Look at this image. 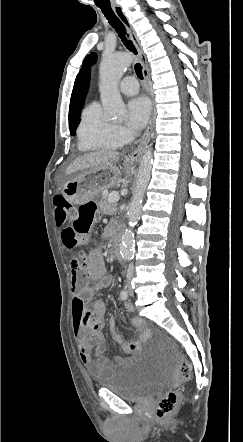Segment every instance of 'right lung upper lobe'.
<instances>
[{"label": "right lung upper lobe", "mask_w": 243, "mask_h": 442, "mask_svg": "<svg viewBox=\"0 0 243 442\" xmlns=\"http://www.w3.org/2000/svg\"><path fill=\"white\" fill-rule=\"evenodd\" d=\"M89 87V69L83 67L76 77L70 107H69V126L79 123V115L81 110V105L84 102L86 92Z\"/></svg>", "instance_id": "1"}]
</instances>
